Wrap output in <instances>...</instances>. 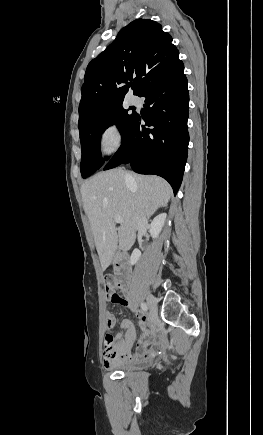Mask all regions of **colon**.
<instances>
[{
	"mask_svg": "<svg viewBox=\"0 0 263 435\" xmlns=\"http://www.w3.org/2000/svg\"><path fill=\"white\" fill-rule=\"evenodd\" d=\"M113 284H114L113 277H111V276L105 277L104 285H105V289H106L107 299L113 303H119L121 301V297L113 290ZM112 340H113V338L110 334H107L105 336V339H104L105 343L103 344V347L105 348V350H114L115 343Z\"/></svg>",
	"mask_w": 263,
	"mask_h": 435,
	"instance_id": "5ec220e1",
	"label": "colon"
}]
</instances>
